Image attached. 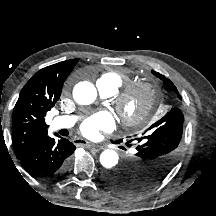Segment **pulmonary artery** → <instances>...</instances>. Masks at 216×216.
Wrapping results in <instances>:
<instances>
[{"mask_svg": "<svg viewBox=\"0 0 216 216\" xmlns=\"http://www.w3.org/2000/svg\"><path fill=\"white\" fill-rule=\"evenodd\" d=\"M96 86L103 97H110L115 93L112 87L102 80H98ZM76 119L75 116H57L53 118L51 125L54 129L70 128L75 124Z\"/></svg>", "mask_w": 216, "mask_h": 216, "instance_id": "1", "label": "pulmonary artery"}]
</instances>
